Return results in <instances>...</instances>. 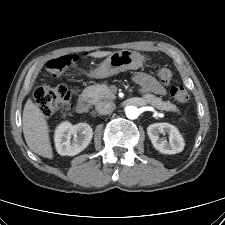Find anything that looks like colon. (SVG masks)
Masks as SVG:
<instances>
[{
	"label": "colon",
	"instance_id": "1",
	"mask_svg": "<svg viewBox=\"0 0 225 225\" xmlns=\"http://www.w3.org/2000/svg\"><path fill=\"white\" fill-rule=\"evenodd\" d=\"M78 60L77 55H64L51 59L46 64L48 73L54 77L62 75ZM158 78L169 83L172 79V72L163 66L155 65L153 67ZM171 96L180 103H186L189 100L187 89L179 84L170 89ZM69 90L65 86L51 87L41 85L34 91V100L44 116H52L55 113L66 111L69 108Z\"/></svg>",
	"mask_w": 225,
	"mask_h": 225
}]
</instances>
